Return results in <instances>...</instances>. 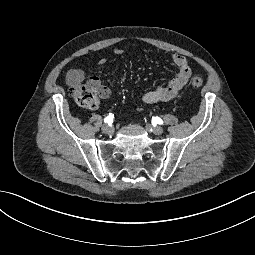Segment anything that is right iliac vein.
Wrapping results in <instances>:
<instances>
[{
  "mask_svg": "<svg viewBox=\"0 0 255 255\" xmlns=\"http://www.w3.org/2000/svg\"><path fill=\"white\" fill-rule=\"evenodd\" d=\"M102 131H103L105 134L110 135V134H112V133L114 132V129H113L112 126L106 124V125H104V126L102 127Z\"/></svg>",
  "mask_w": 255,
  "mask_h": 255,
  "instance_id": "obj_1",
  "label": "right iliac vein"
}]
</instances>
